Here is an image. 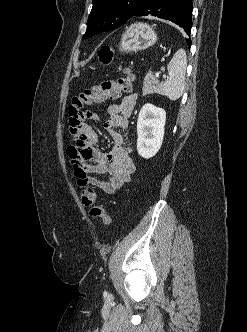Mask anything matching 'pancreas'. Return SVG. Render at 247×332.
<instances>
[{"label": "pancreas", "instance_id": "1", "mask_svg": "<svg viewBox=\"0 0 247 332\" xmlns=\"http://www.w3.org/2000/svg\"><path fill=\"white\" fill-rule=\"evenodd\" d=\"M158 82L153 73L150 71L146 74L143 82V95H148L157 92Z\"/></svg>", "mask_w": 247, "mask_h": 332}]
</instances>
